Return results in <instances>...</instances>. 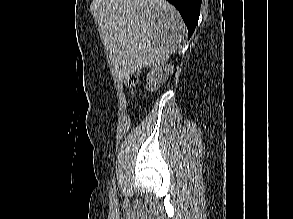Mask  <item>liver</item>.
Listing matches in <instances>:
<instances>
[{
    "label": "liver",
    "instance_id": "obj_1",
    "mask_svg": "<svg viewBox=\"0 0 293 219\" xmlns=\"http://www.w3.org/2000/svg\"><path fill=\"white\" fill-rule=\"evenodd\" d=\"M98 16L99 32L120 82L141 68L164 64L187 30L166 0H101Z\"/></svg>",
    "mask_w": 293,
    "mask_h": 219
}]
</instances>
